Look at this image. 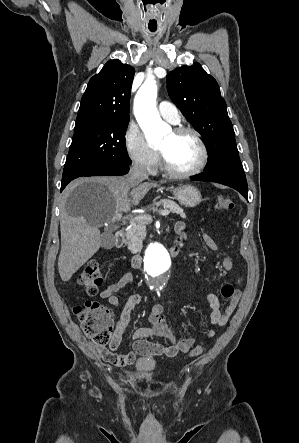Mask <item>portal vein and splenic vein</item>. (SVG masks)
Masks as SVG:
<instances>
[{"label":"portal vein and splenic vein","mask_w":299,"mask_h":443,"mask_svg":"<svg viewBox=\"0 0 299 443\" xmlns=\"http://www.w3.org/2000/svg\"><path fill=\"white\" fill-rule=\"evenodd\" d=\"M159 214H160L161 216H168V215H169V211H168V210H162V211L159 212ZM121 217H122L121 214H119V213H118V214H115V215L113 216V218H112V222H113V221L120 220ZM135 220H152V217H151V216H148V215H144V216L139 215V216H136V217L131 218V219H130V222L132 223V222H134Z\"/></svg>","instance_id":"18ae733b"}]
</instances>
